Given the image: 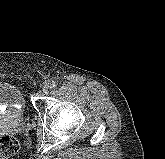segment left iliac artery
I'll return each instance as SVG.
<instances>
[{
  "mask_svg": "<svg viewBox=\"0 0 165 159\" xmlns=\"http://www.w3.org/2000/svg\"><path fill=\"white\" fill-rule=\"evenodd\" d=\"M51 88H55L57 86V83L55 81H52L50 83Z\"/></svg>",
  "mask_w": 165,
  "mask_h": 159,
  "instance_id": "44dca946",
  "label": "left iliac artery"
}]
</instances>
